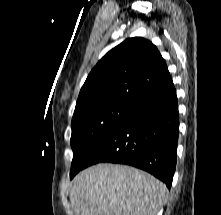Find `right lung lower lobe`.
Returning a JSON list of instances; mask_svg holds the SVG:
<instances>
[{"label": "right lung lower lobe", "instance_id": "right-lung-lower-lobe-1", "mask_svg": "<svg viewBox=\"0 0 221 215\" xmlns=\"http://www.w3.org/2000/svg\"><path fill=\"white\" fill-rule=\"evenodd\" d=\"M178 134V103L172 82L136 102L93 151L85 168L100 162L131 165L151 173L170 189Z\"/></svg>", "mask_w": 221, "mask_h": 215}]
</instances>
